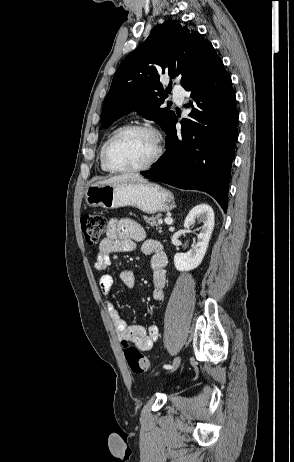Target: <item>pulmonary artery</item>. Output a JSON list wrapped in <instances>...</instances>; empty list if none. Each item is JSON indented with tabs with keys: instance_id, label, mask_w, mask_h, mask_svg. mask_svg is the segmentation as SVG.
Returning <instances> with one entry per match:
<instances>
[{
	"instance_id": "1",
	"label": "pulmonary artery",
	"mask_w": 294,
	"mask_h": 462,
	"mask_svg": "<svg viewBox=\"0 0 294 462\" xmlns=\"http://www.w3.org/2000/svg\"><path fill=\"white\" fill-rule=\"evenodd\" d=\"M185 96H186V93L183 90V88H181L179 86H174V88H173V99L177 104H179V105L183 104V102L185 100Z\"/></svg>"
}]
</instances>
